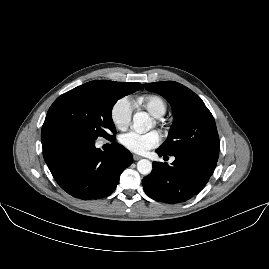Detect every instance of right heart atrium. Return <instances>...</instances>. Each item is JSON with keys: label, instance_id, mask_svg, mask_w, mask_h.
I'll list each match as a JSON object with an SVG mask.
<instances>
[{"label": "right heart atrium", "instance_id": "right-heart-atrium-1", "mask_svg": "<svg viewBox=\"0 0 269 269\" xmlns=\"http://www.w3.org/2000/svg\"><path fill=\"white\" fill-rule=\"evenodd\" d=\"M134 101L129 96H124L115 101L110 110V118L117 129H125L132 118Z\"/></svg>", "mask_w": 269, "mask_h": 269}]
</instances>
